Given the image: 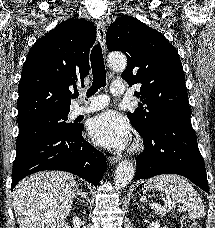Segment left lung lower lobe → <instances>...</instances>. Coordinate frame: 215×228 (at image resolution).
Wrapping results in <instances>:
<instances>
[{
  "label": "left lung lower lobe",
  "instance_id": "left-lung-lower-lobe-1",
  "mask_svg": "<svg viewBox=\"0 0 215 228\" xmlns=\"http://www.w3.org/2000/svg\"><path fill=\"white\" fill-rule=\"evenodd\" d=\"M142 137L145 150L135 157L137 169L134 180L178 174L209 193L205 164L190 117L160 120Z\"/></svg>",
  "mask_w": 215,
  "mask_h": 228
}]
</instances>
